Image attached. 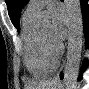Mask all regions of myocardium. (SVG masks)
Returning a JSON list of instances; mask_svg holds the SVG:
<instances>
[{
    "label": "myocardium",
    "instance_id": "f54148a6",
    "mask_svg": "<svg viewBox=\"0 0 89 89\" xmlns=\"http://www.w3.org/2000/svg\"><path fill=\"white\" fill-rule=\"evenodd\" d=\"M39 40H40L41 47L45 55L48 58L57 61L63 50L62 45L48 41L43 35L40 28H39Z\"/></svg>",
    "mask_w": 89,
    "mask_h": 89
}]
</instances>
